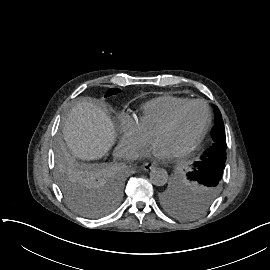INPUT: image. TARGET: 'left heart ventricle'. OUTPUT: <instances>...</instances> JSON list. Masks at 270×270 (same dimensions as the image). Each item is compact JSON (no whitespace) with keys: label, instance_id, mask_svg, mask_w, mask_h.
<instances>
[{"label":"left heart ventricle","instance_id":"left-heart-ventricle-1","mask_svg":"<svg viewBox=\"0 0 270 270\" xmlns=\"http://www.w3.org/2000/svg\"><path fill=\"white\" fill-rule=\"evenodd\" d=\"M205 121V110L202 105L190 107L178 123L159 132L155 138L169 145L177 154L187 148L199 135Z\"/></svg>","mask_w":270,"mask_h":270}]
</instances>
